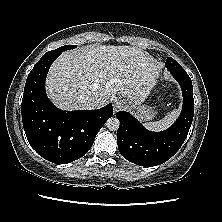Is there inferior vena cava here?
Listing matches in <instances>:
<instances>
[{"label":"inferior vena cava","mask_w":222,"mask_h":222,"mask_svg":"<svg viewBox=\"0 0 222 222\" xmlns=\"http://www.w3.org/2000/svg\"><path fill=\"white\" fill-rule=\"evenodd\" d=\"M83 103L88 109H97L101 107L100 100L95 96H86L83 98Z\"/></svg>","instance_id":"602c4592"}]
</instances>
